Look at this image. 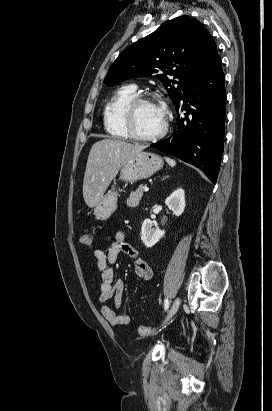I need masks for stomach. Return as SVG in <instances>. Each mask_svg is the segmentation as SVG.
<instances>
[{
  "label": "stomach",
  "instance_id": "0dacf381",
  "mask_svg": "<svg viewBox=\"0 0 272 411\" xmlns=\"http://www.w3.org/2000/svg\"><path fill=\"white\" fill-rule=\"evenodd\" d=\"M163 164V159L159 155L151 152H140L121 166L119 180L132 183L149 178L160 170ZM114 182L116 184V180ZM117 200L118 192L113 187L95 206V218L100 221L109 219L117 207Z\"/></svg>",
  "mask_w": 272,
  "mask_h": 411
}]
</instances>
